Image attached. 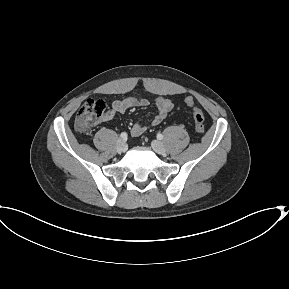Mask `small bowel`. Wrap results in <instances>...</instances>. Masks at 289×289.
Wrapping results in <instances>:
<instances>
[{
    "label": "small bowel",
    "mask_w": 289,
    "mask_h": 289,
    "mask_svg": "<svg viewBox=\"0 0 289 289\" xmlns=\"http://www.w3.org/2000/svg\"><path fill=\"white\" fill-rule=\"evenodd\" d=\"M152 103L156 108V114L148 123H135L131 127V134L133 136H139L143 132H145L147 128L159 125L174 107L172 101L165 97H157L152 101ZM150 104L151 102L149 100L141 96L131 95L124 99L114 101L111 105L110 110H108L102 117V120L109 121L116 115L123 114L130 108L144 107Z\"/></svg>",
    "instance_id": "1"
}]
</instances>
